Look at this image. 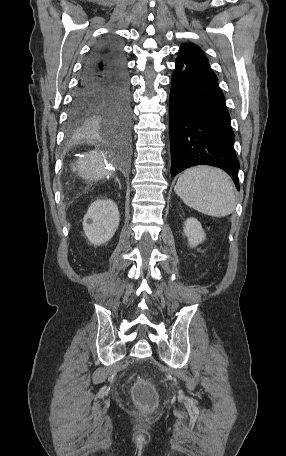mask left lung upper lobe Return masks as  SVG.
I'll list each match as a JSON object with an SVG mask.
<instances>
[{"label":"left lung upper lobe","instance_id":"1","mask_svg":"<svg viewBox=\"0 0 286 456\" xmlns=\"http://www.w3.org/2000/svg\"><path fill=\"white\" fill-rule=\"evenodd\" d=\"M176 60L194 62L210 68L208 59L202 50L197 45L192 43L182 44L180 46L178 58Z\"/></svg>","mask_w":286,"mask_h":456}]
</instances>
